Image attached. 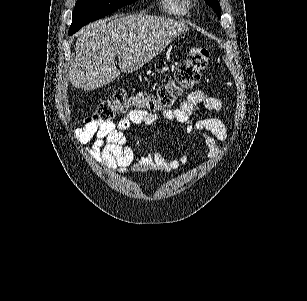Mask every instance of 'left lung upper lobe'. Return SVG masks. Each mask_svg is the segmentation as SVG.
I'll return each mask as SVG.
<instances>
[{
	"label": "left lung upper lobe",
	"instance_id": "left-lung-upper-lobe-1",
	"mask_svg": "<svg viewBox=\"0 0 307 301\" xmlns=\"http://www.w3.org/2000/svg\"><path fill=\"white\" fill-rule=\"evenodd\" d=\"M205 2L215 11L218 17L221 16L220 5L218 0H205Z\"/></svg>",
	"mask_w": 307,
	"mask_h": 301
}]
</instances>
